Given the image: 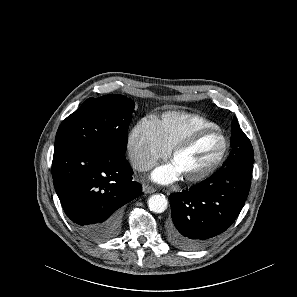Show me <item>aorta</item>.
I'll return each mask as SVG.
<instances>
[{"mask_svg":"<svg viewBox=\"0 0 297 297\" xmlns=\"http://www.w3.org/2000/svg\"><path fill=\"white\" fill-rule=\"evenodd\" d=\"M167 199L163 195H152L148 200V207L154 213H162L167 209Z\"/></svg>","mask_w":297,"mask_h":297,"instance_id":"obj_1","label":"aorta"}]
</instances>
